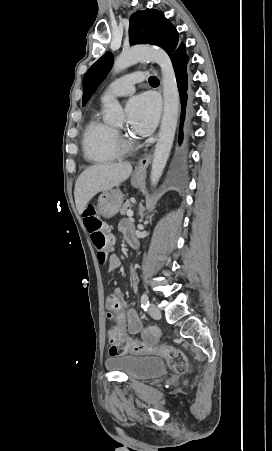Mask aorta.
Returning a JSON list of instances; mask_svg holds the SVG:
<instances>
[{"mask_svg":"<svg viewBox=\"0 0 272 451\" xmlns=\"http://www.w3.org/2000/svg\"><path fill=\"white\" fill-rule=\"evenodd\" d=\"M137 62H156L162 74L164 110L150 176L152 186H156L173 146L179 114V92L172 62L161 48H130L114 60L112 72L119 74ZM105 106L107 108L104 116L106 124L123 122L124 114L118 100H110Z\"/></svg>","mask_w":272,"mask_h":451,"instance_id":"1","label":"aorta"}]
</instances>
